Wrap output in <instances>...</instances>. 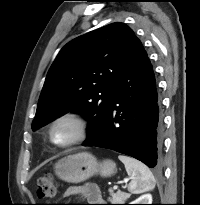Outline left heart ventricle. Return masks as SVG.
<instances>
[{"label": "left heart ventricle", "mask_w": 200, "mask_h": 205, "mask_svg": "<svg viewBox=\"0 0 200 205\" xmlns=\"http://www.w3.org/2000/svg\"><path fill=\"white\" fill-rule=\"evenodd\" d=\"M74 134V128L68 123L60 124L54 131V139L57 142H65L69 140Z\"/></svg>", "instance_id": "1"}]
</instances>
